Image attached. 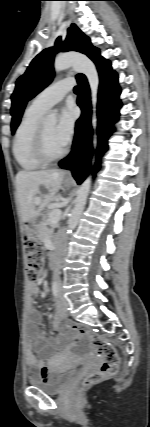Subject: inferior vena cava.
Instances as JSON below:
<instances>
[{
	"mask_svg": "<svg viewBox=\"0 0 150 427\" xmlns=\"http://www.w3.org/2000/svg\"><path fill=\"white\" fill-rule=\"evenodd\" d=\"M60 263H61V261L58 263L57 268L54 271V278H58L59 269H60Z\"/></svg>",
	"mask_w": 150,
	"mask_h": 427,
	"instance_id": "obj_1",
	"label": "inferior vena cava"
}]
</instances>
